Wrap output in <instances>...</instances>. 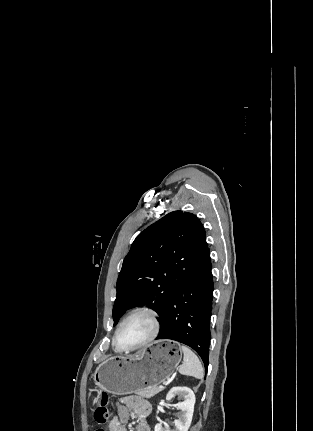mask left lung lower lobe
I'll return each instance as SVG.
<instances>
[{
  "mask_svg": "<svg viewBox=\"0 0 313 431\" xmlns=\"http://www.w3.org/2000/svg\"><path fill=\"white\" fill-rule=\"evenodd\" d=\"M213 278L209 249L167 302L157 339H171L193 348L207 371L211 339Z\"/></svg>",
  "mask_w": 313,
  "mask_h": 431,
  "instance_id": "0a47b994",
  "label": "left lung lower lobe"
}]
</instances>
